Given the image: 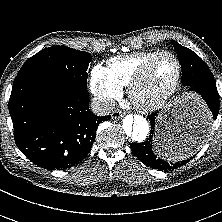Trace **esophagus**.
<instances>
[{
    "mask_svg": "<svg viewBox=\"0 0 222 222\" xmlns=\"http://www.w3.org/2000/svg\"><path fill=\"white\" fill-rule=\"evenodd\" d=\"M123 112L121 110H116L112 112V118L113 119H120L123 116Z\"/></svg>",
    "mask_w": 222,
    "mask_h": 222,
    "instance_id": "esophagus-1",
    "label": "esophagus"
}]
</instances>
